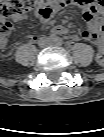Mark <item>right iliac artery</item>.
Returning <instances> with one entry per match:
<instances>
[{"instance_id":"right-iliac-artery-1","label":"right iliac artery","mask_w":104,"mask_h":137,"mask_svg":"<svg viewBox=\"0 0 104 137\" xmlns=\"http://www.w3.org/2000/svg\"><path fill=\"white\" fill-rule=\"evenodd\" d=\"M51 39L56 40L57 38H56V36H51Z\"/></svg>"}]
</instances>
